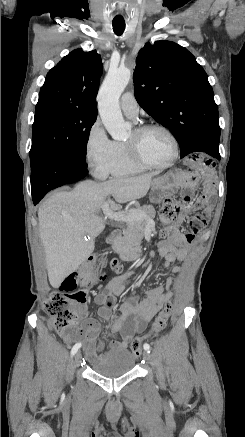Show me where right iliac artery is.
I'll use <instances>...</instances> for the list:
<instances>
[{
    "label": "right iliac artery",
    "mask_w": 245,
    "mask_h": 437,
    "mask_svg": "<svg viewBox=\"0 0 245 437\" xmlns=\"http://www.w3.org/2000/svg\"><path fill=\"white\" fill-rule=\"evenodd\" d=\"M80 347H81V343L75 344L71 350V355L74 356L76 352L80 349Z\"/></svg>",
    "instance_id": "obj_1"
}]
</instances>
